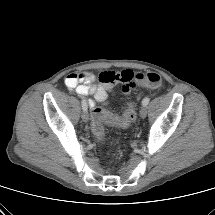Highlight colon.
<instances>
[{
    "label": "colon",
    "mask_w": 215,
    "mask_h": 215,
    "mask_svg": "<svg viewBox=\"0 0 215 215\" xmlns=\"http://www.w3.org/2000/svg\"><path fill=\"white\" fill-rule=\"evenodd\" d=\"M161 76L155 72H149L147 74L137 73L133 75V84H140L152 88H156L161 84ZM136 119V107L135 104L128 103L127 109L121 117H113L109 113L95 109L92 112V132L95 137L102 141L104 139V122H110L118 127L125 128L129 126Z\"/></svg>",
    "instance_id": "obj_1"
}]
</instances>
